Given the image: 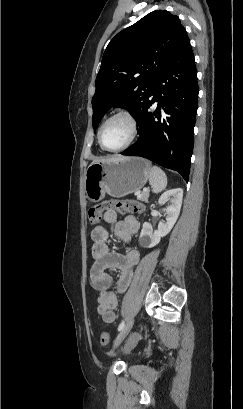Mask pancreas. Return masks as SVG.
<instances>
[{
	"label": "pancreas",
	"mask_w": 243,
	"mask_h": 409,
	"mask_svg": "<svg viewBox=\"0 0 243 409\" xmlns=\"http://www.w3.org/2000/svg\"><path fill=\"white\" fill-rule=\"evenodd\" d=\"M148 197H149V192L146 191V192H143L142 194H140V195L138 196V199L141 200V201L147 202V201H148Z\"/></svg>",
	"instance_id": "1"
}]
</instances>
